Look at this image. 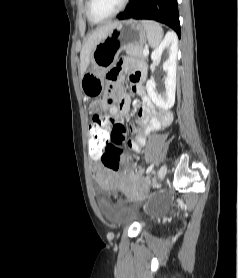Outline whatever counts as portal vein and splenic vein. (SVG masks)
Wrapping results in <instances>:
<instances>
[{
  "label": "portal vein and splenic vein",
  "mask_w": 238,
  "mask_h": 278,
  "mask_svg": "<svg viewBox=\"0 0 238 278\" xmlns=\"http://www.w3.org/2000/svg\"><path fill=\"white\" fill-rule=\"evenodd\" d=\"M143 54H144L145 56H147V55L149 54L148 48H145V49L143 50Z\"/></svg>",
  "instance_id": "18ae733b"
}]
</instances>
